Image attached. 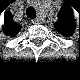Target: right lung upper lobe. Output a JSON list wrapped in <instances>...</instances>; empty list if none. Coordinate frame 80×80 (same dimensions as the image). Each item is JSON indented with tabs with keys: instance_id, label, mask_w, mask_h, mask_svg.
Segmentation results:
<instances>
[{
	"instance_id": "right-lung-upper-lobe-1",
	"label": "right lung upper lobe",
	"mask_w": 80,
	"mask_h": 80,
	"mask_svg": "<svg viewBox=\"0 0 80 80\" xmlns=\"http://www.w3.org/2000/svg\"><path fill=\"white\" fill-rule=\"evenodd\" d=\"M6 19V32H8L10 35H15L19 31L20 27L18 25L12 24L10 16H7Z\"/></svg>"
}]
</instances>
